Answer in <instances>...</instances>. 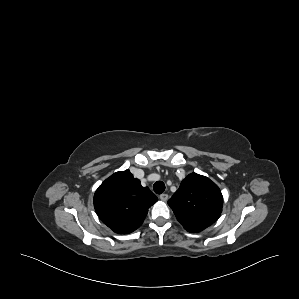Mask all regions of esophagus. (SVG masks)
<instances>
[{
	"mask_svg": "<svg viewBox=\"0 0 299 299\" xmlns=\"http://www.w3.org/2000/svg\"><path fill=\"white\" fill-rule=\"evenodd\" d=\"M159 198L162 200V201H167L168 200V194L166 193H163L159 196Z\"/></svg>",
	"mask_w": 299,
	"mask_h": 299,
	"instance_id": "esophagus-1",
	"label": "esophagus"
}]
</instances>
